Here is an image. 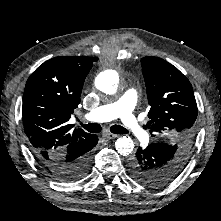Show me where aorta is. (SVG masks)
Listing matches in <instances>:
<instances>
[{"instance_id":"obj_1","label":"aorta","mask_w":221,"mask_h":221,"mask_svg":"<svg viewBox=\"0 0 221 221\" xmlns=\"http://www.w3.org/2000/svg\"><path fill=\"white\" fill-rule=\"evenodd\" d=\"M118 73L114 70H106L101 72L95 80L96 87L109 95H113L118 91ZM115 148L117 152L121 155H129L134 148V142L130 137H120L115 142Z\"/></svg>"}]
</instances>
